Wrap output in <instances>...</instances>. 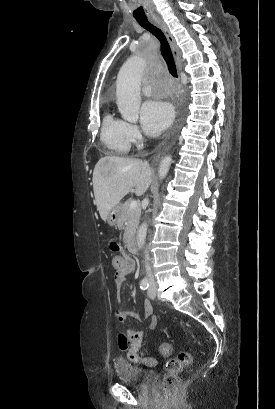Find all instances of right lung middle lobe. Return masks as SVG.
I'll return each mask as SVG.
<instances>
[{
	"label": "right lung middle lobe",
	"mask_w": 275,
	"mask_h": 409,
	"mask_svg": "<svg viewBox=\"0 0 275 409\" xmlns=\"http://www.w3.org/2000/svg\"><path fill=\"white\" fill-rule=\"evenodd\" d=\"M160 161L159 160H150L148 162V167L150 169H159L160 168Z\"/></svg>",
	"instance_id": "right-lung-middle-lobe-1"
}]
</instances>
